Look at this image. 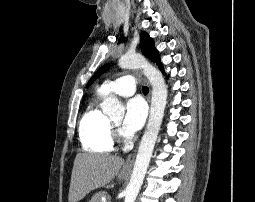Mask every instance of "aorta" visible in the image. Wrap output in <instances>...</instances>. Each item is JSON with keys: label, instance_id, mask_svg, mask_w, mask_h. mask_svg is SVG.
<instances>
[{"label": "aorta", "instance_id": "1", "mask_svg": "<svg viewBox=\"0 0 255 202\" xmlns=\"http://www.w3.org/2000/svg\"><path fill=\"white\" fill-rule=\"evenodd\" d=\"M124 69H142L152 86L151 109L148 124L141 139L130 182L125 190L124 202H135L141 189L147 168L152 157L157 136L161 127L167 102V86L160 71L138 54H125L119 59ZM103 112L111 118L123 117L125 107L115 96L104 99Z\"/></svg>", "mask_w": 255, "mask_h": 202}]
</instances>
